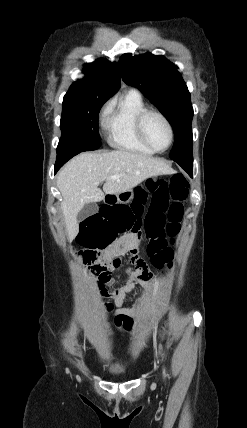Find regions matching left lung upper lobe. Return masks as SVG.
Returning <instances> with one entry per match:
<instances>
[{
  "instance_id": "1",
  "label": "left lung upper lobe",
  "mask_w": 247,
  "mask_h": 428,
  "mask_svg": "<svg viewBox=\"0 0 247 428\" xmlns=\"http://www.w3.org/2000/svg\"><path fill=\"white\" fill-rule=\"evenodd\" d=\"M119 67L123 81L138 88L170 122L175 135L170 158L193 160V107L190 92L177 67L164 56L151 53L124 54Z\"/></svg>"
}]
</instances>
